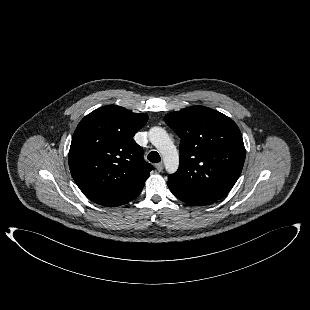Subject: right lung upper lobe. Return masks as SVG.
Instances as JSON below:
<instances>
[{
    "label": "right lung upper lobe",
    "instance_id": "right-lung-upper-lobe-1",
    "mask_svg": "<svg viewBox=\"0 0 310 310\" xmlns=\"http://www.w3.org/2000/svg\"><path fill=\"white\" fill-rule=\"evenodd\" d=\"M147 120L146 114L107 105L80 121L72 137L69 168L89 199L120 206L140 194L153 167L144 161L133 136Z\"/></svg>",
    "mask_w": 310,
    "mask_h": 310
}]
</instances>
